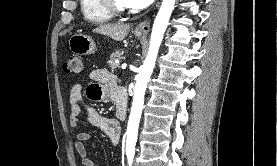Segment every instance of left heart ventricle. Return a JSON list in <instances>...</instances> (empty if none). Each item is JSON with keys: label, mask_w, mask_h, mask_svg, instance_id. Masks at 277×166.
<instances>
[{"label": "left heart ventricle", "mask_w": 277, "mask_h": 166, "mask_svg": "<svg viewBox=\"0 0 277 166\" xmlns=\"http://www.w3.org/2000/svg\"><path fill=\"white\" fill-rule=\"evenodd\" d=\"M120 4L125 5L123 0H117Z\"/></svg>", "instance_id": "left-heart-ventricle-1"}]
</instances>
